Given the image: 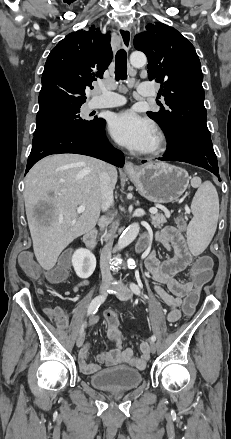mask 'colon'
<instances>
[{
    "mask_svg": "<svg viewBox=\"0 0 231 439\" xmlns=\"http://www.w3.org/2000/svg\"><path fill=\"white\" fill-rule=\"evenodd\" d=\"M177 226L180 230H184L187 226L185 218L181 217L177 220ZM20 265L23 270L33 277H39L41 270L37 266L33 256L23 254L20 257ZM212 266L211 257L203 255L196 258L191 269V280L194 287L183 295L181 312L186 319H191L196 315V306L198 296L204 292V287L212 282ZM70 268V254L66 253L61 257L58 264L46 273V278L51 283H61L66 280Z\"/></svg>",
    "mask_w": 231,
    "mask_h": 439,
    "instance_id": "colon-1",
    "label": "colon"
}]
</instances>
